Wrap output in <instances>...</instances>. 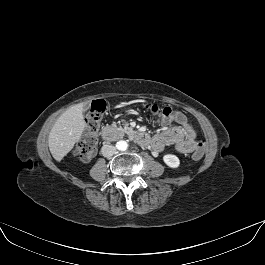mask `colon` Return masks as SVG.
<instances>
[{"label": "colon", "mask_w": 265, "mask_h": 265, "mask_svg": "<svg viewBox=\"0 0 265 265\" xmlns=\"http://www.w3.org/2000/svg\"><path fill=\"white\" fill-rule=\"evenodd\" d=\"M144 109L159 118H173L175 120H186V117L178 110L171 107H160L156 104H144ZM105 112V103L96 100L92 103L91 109L86 117V131L83 138L75 148V155L82 161H89L95 155L98 146V130ZM203 149H197L192 157L199 160L203 157Z\"/></svg>", "instance_id": "5ec220e1"}]
</instances>
